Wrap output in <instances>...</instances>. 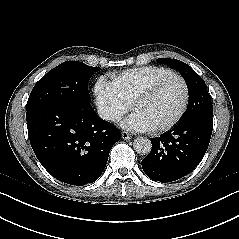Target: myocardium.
I'll return each instance as SVG.
<instances>
[{
	"label": "myocardium",
	"instance_id": "myocardium-1",
	"mask_svg": "<svg viewBox=\"0 0 239 239\" xmlns=\"http://www.w3.org/2000/svg\"><path fill=\"white\" fill-rule=\"evenodd\" d=\"M170 78H176L181 81L183 88H184L183 103H182V106H181L179 112L171 121H169L168 123H166L162 126L154 127L151 129V131L154 133H164V132L171 130L183 119L184 115L186 114L188 105H189V100H190V89H189V85H188L186 79L182 75H180L176 72L166 73V74L156 78L154 81H152L150 84H148L144 88L140 89L135 94V96L133 97V99L130 103L131 110H134V108L136 107V105L139 102L144 101V100L148 99L150 96H152L155 93V91L158 89V87L164 81H166L167 79H170Z\"/></svg>",
	"mask_w": 239,
	"mask_h": 239
}]
</instances>
